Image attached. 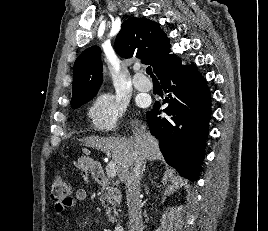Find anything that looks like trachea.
<instances>
[{
  "label": "trachea",
  "mask_w": 268,
  "mask_h": 231,
  "mask_svg": "<svg viewBox=\"0 0 268 231\" xmlns=\"http://www.w3.org/2000/svg\"><path fill=\"white\" fill-rule=\"evenodd\" d=\"M146 73L148 75H150L152 78H155V76L153 75V72H152V68L150 66L146 68Z\"/></svg>",
  "instance_id": "trachea-1"
}]
</instances>
